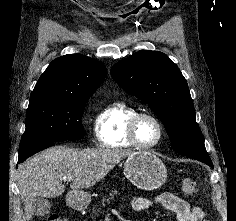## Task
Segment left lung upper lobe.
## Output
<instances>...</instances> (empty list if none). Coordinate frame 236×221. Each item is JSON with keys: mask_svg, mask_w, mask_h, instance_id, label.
Wrapping results in <instances>:
<instances>
[{"mask_svg": "<svg viewBox=\"0 0 236 221\" xmlns=\"http://www.w3.org/2000/svg\"><path fill=\"white\" fill-rule=\"evenodd\" d=\"M111 75L160 117L177 153L213 166L196 123L187 81L166 54L138 51L113 65Z\"/></svg>", "mask_w": 236, "mask_h": 221, "instance_id": "1", "label": "left lung upper lobe"}]
</instances>
